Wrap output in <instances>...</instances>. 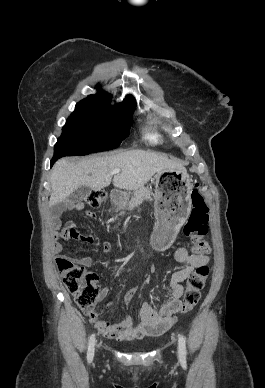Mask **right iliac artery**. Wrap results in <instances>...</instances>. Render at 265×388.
Listing matches in <instances>:
<instances>
[{"mask_svg":"<svg viewBox=\"0 0 265 388\" xmlns=\"http://www.w3.org/2000/svg\"><path fill=\"white\" fill-rule=\"evenodd\" d=\"M94 345H95V334H92L89 339L88 351H87V360L89 363L92 362L94 357Z\"/></svg>","mask_w":265,"mask_h":388,"instance_id":"1","label":"right iliac artery"}]
</instances>
